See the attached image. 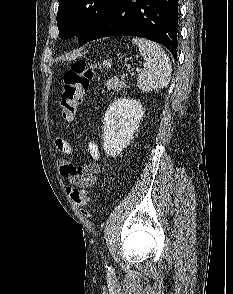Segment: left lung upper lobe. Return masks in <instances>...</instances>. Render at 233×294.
<instances>
[{
  "label": "left lung upper lobe",
  "mask_w": 233,
  "mask_h": 294,
  "mask_svg": "<svg viewBox=\"0 0 233 294\" xmlns=\"http://www.w3.org/2000/svg\"><path fill=\"white\" fill-rule=\"evenodd\" d=\"M113 0H59L57 26L59 37H78L84 45L102 21Z\"/></svg>",
  "instance_id": "1"
}]
</instances>
